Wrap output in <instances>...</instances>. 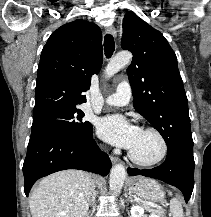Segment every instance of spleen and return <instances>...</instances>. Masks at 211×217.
I'll return each mask as SVG.
<instances>
[{
    "mask_svg": "<svg viewBox=\"0 0 211 217\" xmlns=\"http://www.w3.org/2000/svg\"><path fill=\"white\" fill-rule=\"evenodd\" d=\"M171 195V192H169ZM170 211L173 217H183V208L177 199H172L170 202Z\"/></svg>",
    "mask_w": 211,
    "mask_h": 217,
    "instance_id": "3e777b00",
    "label": "spleen"
}]
</instances>
